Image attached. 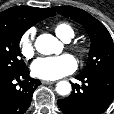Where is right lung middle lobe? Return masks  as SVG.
I'll return each mask as SVG.
<instances>
[{"instance_id":"obj_1","label":"right lung middle lobe","mask_w":114,"mask_h":114,"mask_svg":"<svg viewBox=\"0 0 114 114\" xmlns=\"http://www.w3.org/2000/svg\"><path fill=\"white\" fill-rule=\"evenodd\" d=\"M29 27L0 24V77L14 75L26 65L20 58L19 42Z\"/></svg>"}]
</instances>
